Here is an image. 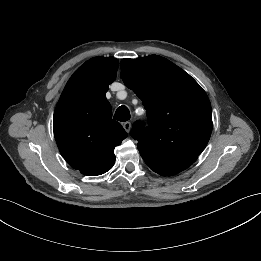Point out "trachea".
Segmentation results:
<instances>
[{
	"instance_id": "obj_1",
	"label": "trachea",
	"mask_w": 261,
	"mask_h": 261,
	"mask_svg": "<svg viewBox=\"0 0 261 261\" xmlns=\"http://www.w3.org/2000/svg\"><path fill=\"white\" fill-rule=\"evenodd\" d=\"M114 119L121 122L128 121L130 119L129 109L125 105L118 107L114 114Z\"/></svg>"
}]
</instances>
